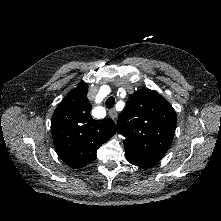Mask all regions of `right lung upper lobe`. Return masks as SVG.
<instances>
[{
  "label": "right lung upper lobe",
  "mask_w": 221,
  "mask_h": 221,
  "mask_svg": "<svg viewBox=\"0 0 221 221\" xmlns=\"http://www.w3.org/2000/svg\"><path fill=\"white\" fill-rule=\"evenodd\" d=\"M88 85L79 84L58 105L51 121L54 147L72 168H81L96 159L97 149L116 133L110 118L95 120L90 115Z\"/></svg>",
  "instance_id": "1"
}]
</instances>
